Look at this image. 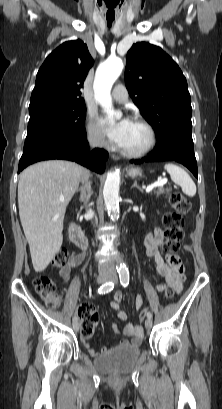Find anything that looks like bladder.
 <instances>
[{"label":"bladder","instance_id":"31cf9c89","mask_svg":"<svg viewBox=\"0 0 222 409\" xmlns=\"http://www.w3.org/2000/svg\"><path fill=\"white\" fill-rule=\"evenodd\" d=\"M137 345L115 346L106 354L97 356L94 367L103 374H122L133 370L140 355Z\"/></svg>","mask_w":222,"mask_h":409}]
</instances>
